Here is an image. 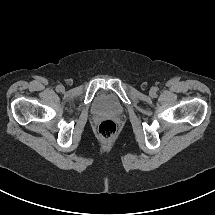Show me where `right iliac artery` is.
<instances>
[{"mask_svg": "<svg viewBox=\"0 0 215 215\" xmlns=\"http://www.w3.org/2000/svg\"><path fill=\"white\" fill-rule=\"evenodd\" d=\"M61 86H62V85H58V86L56 87L57 91H61Z\"/></svg>", "mask_w": 215, "mask_h": 215, "instance_id": "1", "label": "right iliac artery"}]
</instances>
